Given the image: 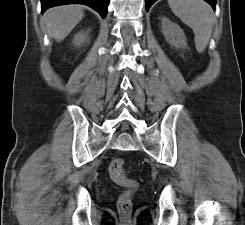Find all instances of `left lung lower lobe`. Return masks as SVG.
<instances>
[{
    "label": "left lung lower lobe",
    "instance_id": "0a47b994",
    "mask_svg": "<svg viewBox=\"0 0 245 225\" xmlns=\"http://www.w3.org/2000/svg\"><path fill=\"white\" fill-rule=\"evenodd\" d=\"M156 0H145L146 2V10L148 11L150 6L155 2ZM206 2H208L213 9H215V4H216V0H205Z\"/></svg>",
    "mask_w": 245,
    "mask_h": 225
}]
</instances>
